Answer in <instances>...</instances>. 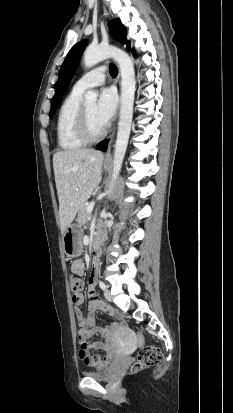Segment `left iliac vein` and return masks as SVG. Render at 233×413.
Returning <instances> with one entry per match:
<instances>
[{
    "label": "left iliac vein",
    "mask_w": 233,
    "mask_h": 413,
    "mask_svg": "<svg viewBox=\"0 0 233 413\" xmlns=\"http://www.w3.org/2000/svg\"><path fill=\"white\" fill-rule=\"evenodd\" d=\"M104 296L108 301H112V296H111V293L108 289H105Z\"/></svg>",
    "instance_id": "left-iliac-vein-1"
}]
</instances>
